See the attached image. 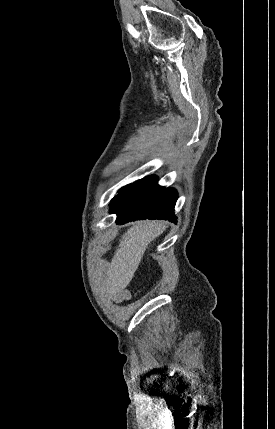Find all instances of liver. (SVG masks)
Listing matches in <instances>:
<instances>
[{
	"instance_id": "6515ba94",
	"label": "liver",
	"mask_w": 275,
	"mask_h": 429,
	"mask_svg": "<svg viewBox=\"0 0 275 429\" xmlns=\"http://www.w3.org/2000/svg\"><path fill=\"white\" fill-rule=\"evenodd\" d=\"M162 226L163 223L158 221L137 222L122 236L107 273V285L113 292L120 293L128 286L146 246Z\"/></svg>"
}]
</instances>
